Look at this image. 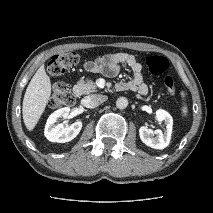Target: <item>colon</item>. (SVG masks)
<instances>
[{
  "label": "colon",
  "mask_w": 213,
  "mask_h": 213,
  "mask_svg": "<svg viewBox=\"0 0 213 213\" xmlns=\"http://www.w3.org/2000/svg\"><path fill=\"white\" fill-rule=\"evenodd\" d=\"M78 61L79 56L75 52L56 54L49 60L47 64V72L51 76L62 75L65 72L72 70L77 65ZM146 65L150 73L160 75L167 70L169 62L163 56L153 55L146 59ZM164 87L168 94L173 95L177 91L178 84L173 77L166 76L164 78ZM74 101V94L65 84L56 83L53 86L49 101L52 108L57 109L70 106Z\"/></svg>",
  "instance_id": "colon-1"
}]
</instances>
